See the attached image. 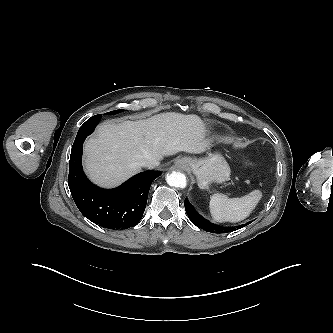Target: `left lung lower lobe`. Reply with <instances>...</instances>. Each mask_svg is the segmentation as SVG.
Masks as SVG:
<instances>
[{
  "label": "left lung lower lobe",
  "instance_id": "0a47b994",
  "mask_svg": "<svg viewBox=\"0 0 333 333\" xmlns=\"http://www.w3.org/2000/svg\"><path fill=\"white\" fill-rule=\"evenodd\" d=\"M185 205V210L187 212V215L189 217V219L191 220V222L196 225L197 227L207 231V232H211V233H228V232H232L234 230H236V228H241L244 227L245 225L250 224L252 221L246 223L245 225H241V226H237V227H226V226H220V225H216L214 223H211L205 219H203L202 217H200L194 210L193 208L189 205V203L187 201H185L184 203Z\"/></svg>",
  "mask_w": 333,
  "mask_h": 333
}]
</instances>
